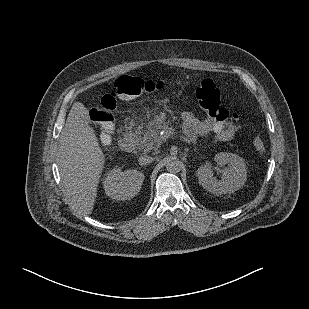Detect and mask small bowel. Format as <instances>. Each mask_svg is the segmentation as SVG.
I'll use <instances>...</instances> for the list:
<instances>
[{
    "instance_id": "1",
    "label": "small bowel",
    "mask_w": 309,
    "mask_h": 309,
    "mask_svg": "<svg viewBox=\"0 0 309 309\" xmlns=\"http://www.w3.org/2000/svg\"><path fill=\"white\" fill-rule=\"evenodd\" d=\"M183 127L189 141H195L199 137L213 134L217 141L227 142L236 133L234 126L217 123L211 119H199L192 113L183 116Z\"/></svg>"
}]
</instances>
